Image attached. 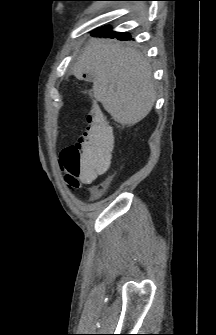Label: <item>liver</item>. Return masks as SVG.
<instances>
[{
  "label": "liver",
  "instance_id": "6515ba94",
  "mask_svg": "<svg viewBox=\"0 0 216 335\" xmlns=\"http://www.w3.org/2000/svg\"><path fill=\"white\" fill-rule=\"evenodd\" d=\"M81 79L92 76L93 94L112 119L121 125H135L151 111L156 101L152 69L137 50L122 43L93 39L72 69Z\"/></svg>",
  "mask_w": 216,
  "mask_h": 335
}]
</instances>
